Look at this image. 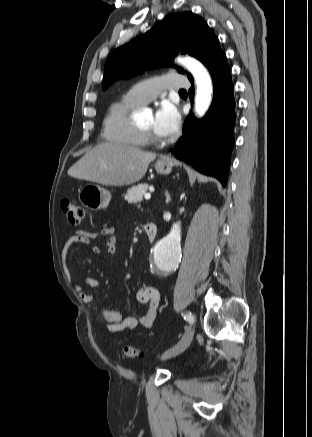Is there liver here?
Listing matches in <instances>:
<instances>
[{
    "instance_id": "obj_1",
    "label": "liver",
    "mask_w": 312,
    "mask_h": 437,
    "mask_svg": "<svg viewBox=\"0 0 312 437\" xmlns=\"http://www.w3.org/2000/svg\"><path fill=\"white\" fill-rule=\"evenodd\" d=\"M156 153L137 147L103 142L78 160L68 174L106 186H125L141 180Z\"/></svg>"
}]
</instances>
